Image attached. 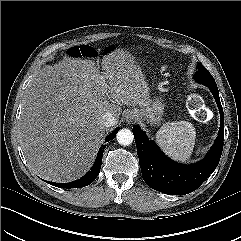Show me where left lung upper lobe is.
<instances>
[{"label": "left lung upper lobe", "mask_w": 241, "mask_h": 241, "mask_svg": "<svg viewBox=\"0 0 241 241\" xmlns=\"http://www.w3.org/2000/svg\"><path fill=\"white\" fill-rule=\"evenodd\" d=\"M195 80L205 86H217L210 72L201 64L198 65V72L195 75Z\"/></svg>", "instance_id": "5c2ea615"}]
</instances>
